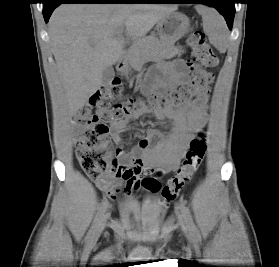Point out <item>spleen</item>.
Masks as SVG:
<instances>
[{
  "mask_svg": "<svg viewBox=\"0 0 279 267\" xmlns=\"http://www.w3.org/2000/svg\"><path fill=\"white\" fill-rule=\"evenodd\" d=\"M195 8L202 16L203 29L208 35L209 41L218 50L225 51L228 41V32L223 18L213 8L204 5H198Z\"/></svg>",
  "mask_w": 279,
  "mask_h": 267,
  "instance_id": "1",
  "label": "spleen"
}]
</instances>
